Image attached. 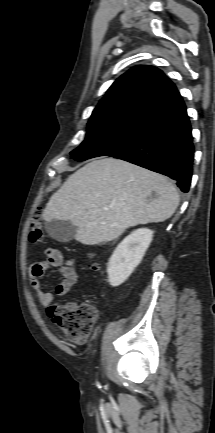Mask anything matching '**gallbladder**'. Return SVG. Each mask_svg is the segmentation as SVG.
I'll return each instance as SVG.
<instances>
[{
  "mask_svg": "<svg viewBox=\"0 0 215 433\" xmlns=\"http://www.w3.org/2000/svg\"><path fill=\"white\" fill-rule=\"evenodd\" d=\"M46 231L51 238L58 242H69L73 240L77 227L74 226L70 221L53 219L46 222Z\"/></svg>",
  "mask_w": 215,
  "mask_h": 433,
  "instance_id": "gallbladder-1",
  "label": "gallbladder"
}]
</instances>
